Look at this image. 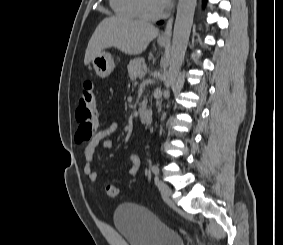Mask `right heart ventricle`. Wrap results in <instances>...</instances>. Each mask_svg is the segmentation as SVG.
Masks as SVG:
<instances>
[{
	"label": "right heart ventricle",
	"instance_id": "e07e8e85",
	"mask_svg": "<svg viewBox=\"0 0 283 245\" xmlns=\"http://www.w3.org/2000/svg\"><path fill=\"white\" fill-rule=\"evenodd\" d=\"M112 10L119 16L139 17L136 0H109Z\"/></svg>",
	"mask_w": 283,
	"mask_h": 245
}]
</instances>
